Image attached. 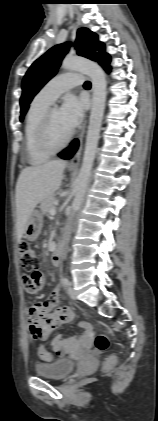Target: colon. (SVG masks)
<instances>
[{
	"label": "colon",
	"mask_w": 158,
	"mask_h": 421,
	"mask_svg": "<svg viewBox=\"0 0 158 421\" xmlns=\"http://www.w3.org/2000/svg\"><path fill=\"white\" fill-rule=\"evenodd\" d=\"M20 266L24 272V286L27 291L33 292L39 288V280L37 277L39 268V259L36 252L31 248L28 242L21 241L18 245ZM109 338L104 334H98L94 338V348L97 351H104L109 347ZM38 356L41 360L51 362L54 360V354L46 349L40 347L38 349ZM116 363L115 356H109L104 366L110 368Z\"/></svg>",
	"instance_id": "5ec220e1"
}]
</instances>
